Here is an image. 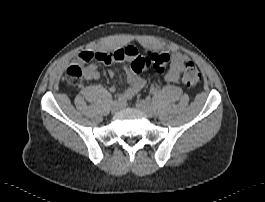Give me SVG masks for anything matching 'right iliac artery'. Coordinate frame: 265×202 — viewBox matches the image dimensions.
Segmentation results:
<instances>
[{
  "label": "right iliac artery",
  "mask_w": 265,
  "mask_h": 202,
  "mask_svg": "<svg viewBox=\"0 0 265 202\" xmlns=\"http://www.w3.org/2000/svg\"><path fill=\"white\" fill-rule=\"evenodd\" d=\"M124 101V98L122 96H119L115 102L122 103Z\"/></svg>",
  "instance_id": "obj_1"
}]
</instances>
